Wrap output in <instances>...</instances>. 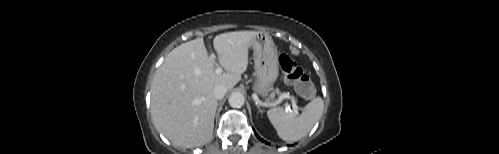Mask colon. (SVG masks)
Returning <instances> with one entry per match:
<instances>
[{
  "label": "colon",
  "mask_w": 499,
  "mask_h": 154,
  "mask_svg": "<svg viewBox=\"0 0 499 154\" xmlns=\"http://www.w3.org/2000/svg\"><path fill=\"white\" fill-rule=\"evenodd\" d=\"M279 65L286 80L293 84L297 91L306 99L315 97L317 89L295 60L287 55L279 57Z\"/></svg>",
  "instance_id": "colon-1"
}]
</instances>
